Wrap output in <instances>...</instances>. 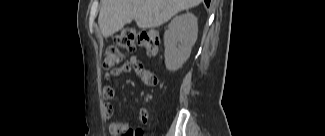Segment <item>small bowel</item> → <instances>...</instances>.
Segmentation results:
<instances>
[{"label": "small bowel", "mask_w": 325, "mask_h": 136, "mask_svg": "<svg viewBox=\"0 0 325 136\" xmlns=\"http://www.w3.org/2000/svg\"><path fill=\"white\" fill-rule=\"evenodd\" d=\"M131 71L136 72L142 82L148 86H156L159 83V77L155 73L145 69L142 60L137 56L131 57L129 60L125 61L120 68L107 73L106 77L112 78L119 74ZM103 94L106 98H112L114 96L113 87L109 84L105 85L103 88ZM105 114L109 119L108 130L111 135H125V133L131 129L128 123L114 122L111 120L114 115V110L111 105L107 104L105 106ZM138 116L141 121L146 122L148 119V110L146 108H140Z\"/></svg>", "instance_id": "obj_1"}]
</instances>
